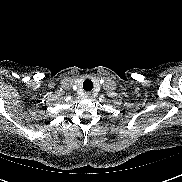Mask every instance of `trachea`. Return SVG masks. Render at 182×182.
<instances>
[{"mask_svg":"<svg viewBox=\"0 0 182 182\" xmlns=\"http://www.w3.org/2000/svg\"><path fill=\"white\" fill-rule=\"evenodd\" d=\"M83 89L85 91H91L93 89V82L90 79H86L83 82Z\"/></svg>","mask_w":182,"mask_h":182,"instance_id":"1","label":"trachea"}]
</instances>
